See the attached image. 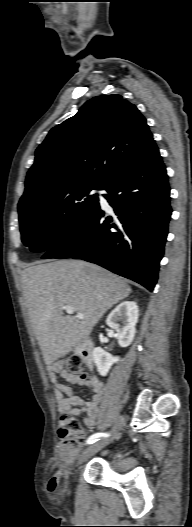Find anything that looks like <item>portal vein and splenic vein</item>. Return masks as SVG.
Segmentation results:
<instances>
[{
  "label": "portal vein and splenic vein",
  "mask_w": 192,
  "mask_h": 527,
  "mask_svg": "<svg viewBox=\"0 0 192 527\" xmlns=\"http://www.w3.org/2000/svg\"><path fill=\"white\" fill-rule=\"evenodd\" d=\"M63 309H64V310L66 311V313L69 314V315H71V314L74 313V309H73V307H71V306H65ZM76 317L79 318V319H83V318H84V315L81 314V313H78V314L76 315Z\"/></svg>",
  "instance_id": "1"
}]
</instances>
